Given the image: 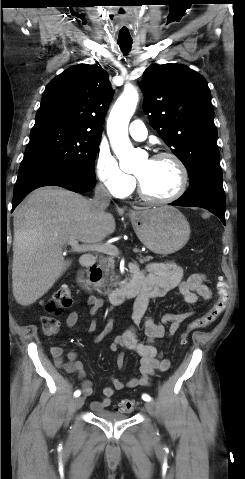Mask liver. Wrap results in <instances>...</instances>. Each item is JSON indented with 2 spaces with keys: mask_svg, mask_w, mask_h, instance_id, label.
<instances>
[{
  "mask_svg": "<svg viewBox=\"0 0 245 479\" xmlns=\"http://www.w3.org/2000/svg\"><path fill=\"white\" fill-rule=\"evenodd\" d=\"M13 226V294L20 305L29 306L71 264L63 254L70 240L101 242L116 224L92 200L60 187H42L15 209Z\"/></svg>",
  "mask_w": 245,
  "mask_h": 479,
  "instance_id": "obj_1",
  "label": "liver"
}]
</instances>
